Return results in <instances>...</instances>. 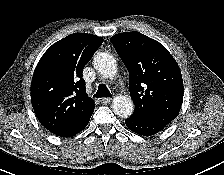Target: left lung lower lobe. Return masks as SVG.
<instances>
[{"label": "left lung lower lobe", "mask_w": 224, "mask_h": 175, "mask_svg": "<svg viewBox=\"0 0 224 175\" xmlns=\"http://www.w3.org/2000/svg\"><path fill=\"white\" fill-rule=\"evenodd\" d=\"M169 122V120L164 119H144L134 116H131L125 121L126 126L131 131L143 136H151L158 133L169 124Z\"/></svg>", "instance_id": "obj_1"}]
</instances>
